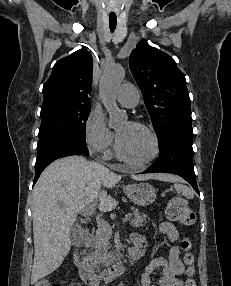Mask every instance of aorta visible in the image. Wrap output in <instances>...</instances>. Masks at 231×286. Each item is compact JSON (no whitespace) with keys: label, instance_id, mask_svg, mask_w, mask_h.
<instances>
[{"label":"aorta","instance_id":"aorta-1","mask_svg":"<svg viewBox=\"0 0 231 286\" xmlns=\"http://www.w3.org/2000/svg\"><path fill=\"white\" fill-rule=\"evenodd\" d=\"M124 75L123 67L112 65L105 69L100 80V98L109 114L108 125L111 128L117 127L127 120V114L119 109L115 99V92L121 84Z\"/></svg>","mask_w":231,"mask_h":286}]
</instances>
